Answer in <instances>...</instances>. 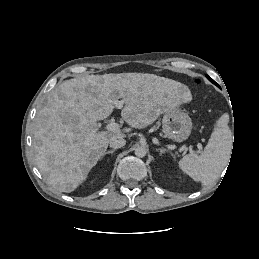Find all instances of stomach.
<instances>
[{
  "label": "stomach",
  "mask_w": 259,
  "mask_h": 259,
  "mask_svg": "<svg viewBox=\"0 0 259 259\" xmlns=\"http://www.w3.org/2000/svg\"><path fill=\"white\" fill-rule=\"evenodd\" d=\"M182 92L189 93V89L183 85ZM162 128L166 137L175 142H183L191 134L192 121L187 114L175 107L164 112Z\"/></svg>",
  "instance_id": "0dacf381"
}]
</instances>
